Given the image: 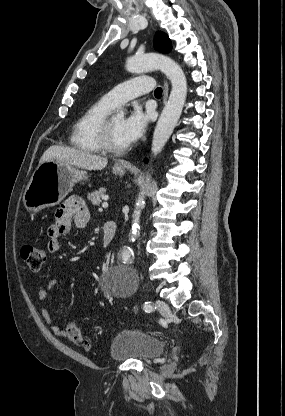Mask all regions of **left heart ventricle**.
<instances>
[{
    "label": "left heart ventricle",
    "mask_w": 285,
    "mask_h": 416,
    "mask_svg": "<svg viewBox=\"0 0 285 416\" xmlns=\"http://www.w3.org/2000/svg\"><path fill=\"white\" fill-rule=\"evenodd\" d=\"M123 117L120 115H111L109 123V138L113 146L121 148L127 146L123 140L121 127Z\"/></svg>",
    "instance_id": "b2bd125f"
}]
</instances>
